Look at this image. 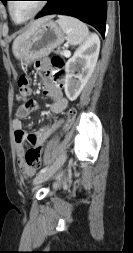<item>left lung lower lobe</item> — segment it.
Wrapping results in <instances>:
<instances>
[{"mask_svg":"<svg viewBox=\"0 0 133 253\" xmlns=\"http://www.w3.org/2000/svg\"><path fill=\"white\" fill-rule=\"evenodd\" d=\"M46 6L35 19L50 15L63 14L78 18L95 27L104 38L109 0H45Z\"/></svg>","mask_w":133,"mask_h":253,"instance_id":"0a47b994","label":"left lung lower lobe"}]
</instances>
